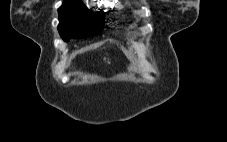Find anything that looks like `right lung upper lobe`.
<instances>
[{
	"instance_id": "1",
	"label": "right lung upper lobe",
	"mask_w": 227,
	"mask_h": 142,
	"mask_svg": "<svg viewBox=\"0 0 227 142\" xmlns=\"http://www.w3.org/2000/svg\"><path fill=\"white\" fill-rule=\"evenodd\" d=\"M67 1H79V2H81L80 0H64V2H67Z\"/></svg>"
}]
</instances>
